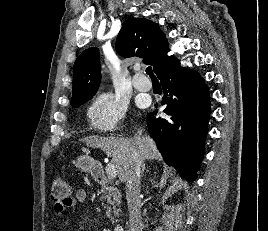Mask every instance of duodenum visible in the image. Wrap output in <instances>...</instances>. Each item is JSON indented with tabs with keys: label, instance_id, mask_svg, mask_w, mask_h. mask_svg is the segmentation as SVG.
<instances>
[{
	"label": "duodenum",
	"instance_id": "duodenum-1",
	"mask_svg": "<svg viewBox=\"0 0 268 231\" xmlns=\"http://www.w3.org/2000/svg\"><path fill=\"white\" fill-rule=\"evenodd\" d=\"M95 179L97 181H99L100 183H107L108 182V178L105 175L104 171L102 170H97L94 174ZM114 231H124V228L122 226H117Z\"/></svg>",
	"mask_w": 268,
	"mask_h": 231
}]
</instances>
